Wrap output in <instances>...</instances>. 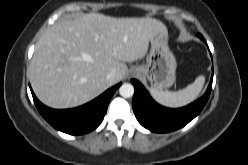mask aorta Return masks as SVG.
<instances>
[{
	"label": "aorta",
	"mask_w": 248,
	"mask_h": 165,
	"mask_svg": "<svg viewBox=\"0 0 248 165\" xmlns=\"http://www.w3.org/2000/svg\"><path fill=\"white\" fill-rule=\"evenodd\" d=\"M119 93L124 98L132 97L134 94V87L132 84L125 83L119 88Z\"/></svg>",
	"instance_id": "762f6f07"
}]
</instances>
